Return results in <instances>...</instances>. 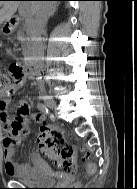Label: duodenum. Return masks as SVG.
Masks as SVG:
<instances>
[{"instance_id":"1","label":"duodenum","mask_w":137,"mask_h":189,"mask_svg":"<svg viewBox=\"0 0 137 189\" xmlns=\"http://www.w3.org/2000/svg\"><path fill=\"white\" fill-rule=\"evenodd\" d=\"M17 26H18V20L14 19V18L8 19V20L5 22V29H4V32H5L6 34H12L13 32L16 31ZM25 66H26L27 72H28L30 75H33V76L36 75L37 72H36V69H35V66H34V63H33V60H32V59H29V58L26 59Z\"/></svg>"}]
</instances>
